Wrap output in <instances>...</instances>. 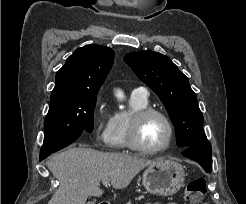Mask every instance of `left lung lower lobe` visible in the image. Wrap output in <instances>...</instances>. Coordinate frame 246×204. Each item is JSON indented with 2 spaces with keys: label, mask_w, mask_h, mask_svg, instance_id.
I'll return each instance as SVG.
<instances>
[{
  "label": "left lung lower lobe",
  "mask_w": 246,
  "mask_h": 204,
  "mask_svg": "<svg viewBox=\"0 0 246 204\" xmlns=\"http://www.w3.org/2000/svg\"><path fill=\"white\" fill-rule=\"evenodd\" d=\"M185 157L198 162L206 172H211V145L209 141L195 146H190L182 153Z\"/></svg>",
  "instance_id": "left-lung-lower-lobe-1"
}]
</instances>
